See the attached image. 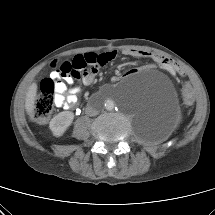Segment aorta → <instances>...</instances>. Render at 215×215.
Returning <instances> with one entry per match:
<instances>
[{
    "instance_id": "1",
    "label": "aorta",
    "mask_w": 215,
    "mask_h": 215,
    "mask_svg": "<svg viewBox=\"0 0 215 215\" xmlns=\"http://www.w3.org/2000/svg\"><path fill=\"white\" fill-rule=\"evenodd\" d=\"M123 85L115 87L112 91L104 92L101 96L100 107L102 110L113 111L117 108L118 102L122 100Z\"/></svg>"
}]
</instances>
